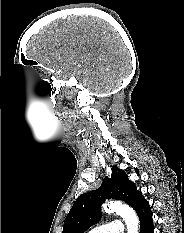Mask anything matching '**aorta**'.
Here are the masks:
<instances>
[{"mask_svg": "<svg viewBox=\"0 0 184 233\" xmlns=\"http://www.w3.org/2000/svg\"><path fill=\"white\" fill-rule=\"evenodd\" d=\"M107 213H118L124 220L128 233H139V220L135 211L127 204L119 201L110 202L103 206Z\"/></svg>", "mask_w": 184, "mask_h": 233, "instance_id": "1", "label": "aorta"}]
</instances>
